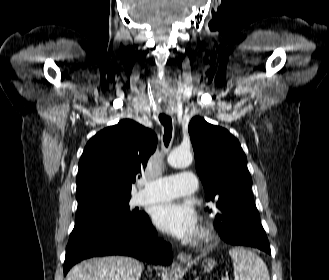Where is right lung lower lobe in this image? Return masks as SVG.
<instances>
[{
    "label": "right lung lower lobe",
    "instance_id": "obj_1",
    "mask_svg": "<svg viewBox=\"0 0 329 280\" xmlns=\"http://www.w3.org/2000/svg\"><path fill=\"white\" fill-rule=\"evenodd\" d=\"M106 255L132 256L161 265H169L173 260L171 245L158 239L147 214L138 225L96 217L74 226L66 247L64 275L84 259Z\"/></svg>",
    "mask_w": 329,
    "mask_h": 280
}]
</instances>
